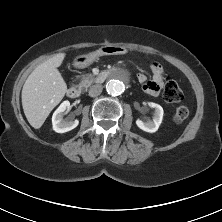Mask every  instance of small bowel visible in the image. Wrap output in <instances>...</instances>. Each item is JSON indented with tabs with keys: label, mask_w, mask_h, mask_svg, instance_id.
<instances>
[{
	"label": "small bowel",
	"mask_w": 222,
	"mask_h": 222,
	"mask_svg": "<svg viewBox=\"0 0 222 222\" xmlns=\"http://www.w3.org/2000/svg\"><path fill=\"white\" fill-rule=\"evenodd\" d=\"M151 71L153 74L152 80L148 81L144 74L138 75V80L143 84L144 91L152 96H156L161 91L164 84V69L159 63H152Z\"/></svg>",
	"instance_id": "obj_1"
}]
</instances>
